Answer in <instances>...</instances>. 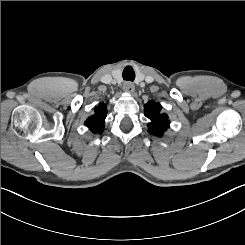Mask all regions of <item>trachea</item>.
I'll return each mask as SVG.
<instances>
[{
    "label": "trachea",
    "instance_id": "1",
    "mask_svg": "<svg viewBox=\"0 0 245 245\" xmlns=\"http://www.w3.org/2000/svg\"><path fill=\"white\" fill-rule=\"evenodd\" d=\"M135 78V72L131 66H127L123 70V79L126 81L133 82Z\"/></svg>",
    "mask_w": 245,
    "mask_h": 245
}]
</instances>
